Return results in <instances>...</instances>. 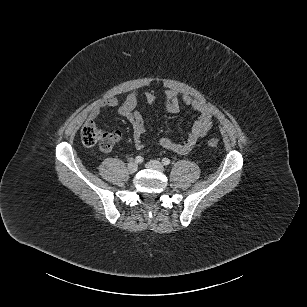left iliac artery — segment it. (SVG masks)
Here are the masks:
<instances>
[{"instance_id":"obj_1","label":"left iliac artery","mask_w":307,"mask_h":307,"mask_svg":"<svg viewBox=\"0 0 307 307\" xmlns=\"http://www.w3.org/2000/svg\"><path fill=\"white\" fill-rule=\"evenodd\" d=\"M162 163L165 165V166H168L170 164V160L168 158H163L162 159Z\"/></svg>"}]
</instances>
